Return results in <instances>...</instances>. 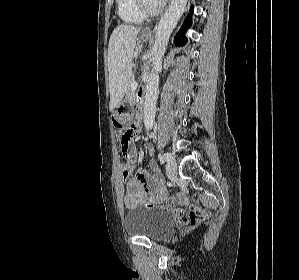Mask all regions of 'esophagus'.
Masks as SVG:
<instances>
[{"label":"esophagus","mask_w":299,"mask_h":280,"mask_svg":"<svg viewBox=\"0 0 299 280\" xmlns=\"http://www.w3.org/2000/svg\"><path fill=\"white\" fill-rule=\"evenodd\" d=\"M144 32L150 34V33H152V28L147 27V28L144 29Z\"/></svg>","instance_id":"esophagus-1"}]
</instances>
